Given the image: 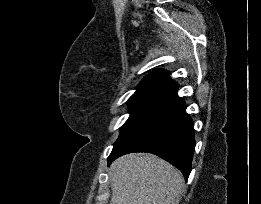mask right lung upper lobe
Segmentation results:
<instances>
[{
    "label": "right lung upper lobe",
    "instance_id": "right-lung-upper-lobe-1",
    "mask_svg": "<svg viewBox=\"0 0 261 204\" xmlns=\"http://www.w3.org/2000/svg\"><path fill=\"white\" fill-rule=\"evenodd\" d=\"M177 89L178 84L170 79L165 70H155L144 77L134 94L153 93L170 96Z\"/></svg>",
    "mask_w": 261,
    "mask_h": 204
}]
</instances>
